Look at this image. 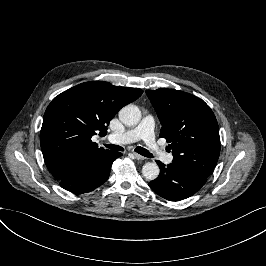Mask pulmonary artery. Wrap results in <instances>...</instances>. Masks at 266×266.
<instances>
[{"mask_svg": "<svg viewBox=\"0 0 266 266\" xmlns=\"http://www.w3.org/2000/svg\"><path fill=\"white\" fill-rule=\"evenodd\" d=\"M154 126L155 123L152 119L145 118L143 123L137 125L135 129L127 130L121 134L111 133L107 136V139L109 142H123V138L126 136L127 140L131 143L138 142L142 139L148 148L153 149L158 158L165 160L167 159L168 154L162 149L160 141H158L151 132ZM171 161L172 156L170 155L166 160V163H170Z\"/></svg>", "mask_w": 266, "mask_h": 266, "instance_id": "obj_1", "label": "pulmonary artery"}]
</instances>
